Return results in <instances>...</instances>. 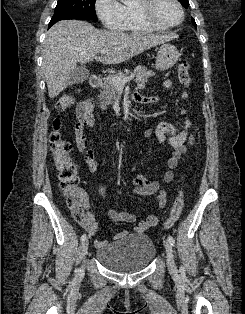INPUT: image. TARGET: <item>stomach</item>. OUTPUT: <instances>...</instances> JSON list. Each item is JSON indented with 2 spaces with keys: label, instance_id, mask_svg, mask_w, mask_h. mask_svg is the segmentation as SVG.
Segmentation results:
<instances>
[{
  "label": "stomach",
  "instance_id": "1",
  "mask_svg": "<svg viewBox=\"0 0 245 314\" xmlns=\"http://www.w3.org/2000/svg\"><path fill=\"white\" fill-rule=\"evenodd\" d=\"M178 49L171 44H163L157 51L155 67L157 70L166 71L172 68L179 58Z\"/></svg>",
  "mask_w": 245,
  "mask_h": 314
}]
</instances>
